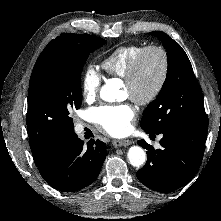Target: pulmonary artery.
<instances>
[{
  "label": "pulmonary artery",
  "mask_w": 221,
  "mask_h": 221,
  "mask_svg": "<svg viewBox=\"0 0 221 221\" xmlns=\"http://www.w3.org/2000/svg\"><path fill=\"white\" fill-rule=\"evenodd\" d=\"M83 130V126L81 124L76 125V131L81 132Z\"/></svg>",
  "instance_id": "1"
}]
</instances>
